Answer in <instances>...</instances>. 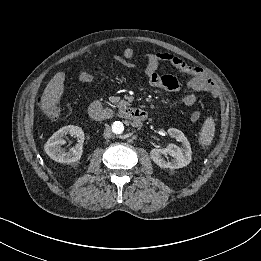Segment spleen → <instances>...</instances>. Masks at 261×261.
<instances>
[{
    "mask_svg": "<svg viewBox=\"0 0 261 261\" xmlns=\"http://www.w3.org/2000/svg\"><path fill=\"white\" fill-rule=\"evenodd\" d=\"M215 134V123L212 117H208L200 132L199 142L202 146H208L211 144Z\"/></svg>",
    "mask_w": 261,
    "mask_h": 261,
    "instance_id": "obj_1",
    "label": "spleen"
}]
</instances>
